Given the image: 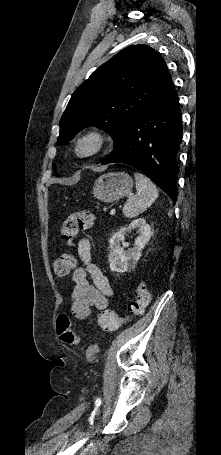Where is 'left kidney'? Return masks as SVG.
<instances>
[{
  "mask_svg": "<svg viewBox=\"0 0 221 455\" xmlns=\"http://www.w3.org/2000/svg\"><path fill=\"white\" fill-rule=\"evenodd\" d=\"M135 228H137L138 237L135 239L133 248H128L125 251L124 248L129 246V243L125 242V235ZM150 237L151 228L144 218H138L128 226L121 227L109 240L110 254L108 261L111 271L122 273L134 268L141 257L142 249L149 242Z\"/></svg>",
  "mask_w": 221,
  "mask_h": 455,
  "instance_id": "5707ae66",
  "label": "left kidney"
}]
</instances>
